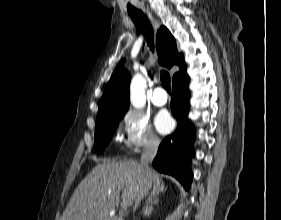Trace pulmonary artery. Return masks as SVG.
<instances>
[{"instance_id": "pulmonary-artery-1", "label": "pulmonary artery", "mask_w": 281, "mask_h": 220, "mask_svg": "<svg viewBox=\"0 0 281 220\" xmlns=\"http://www.w3.org/2000/svg\"><path fill=\"white\" fill-rule=\"evenodd\" d=\"M151 101L156 106H163L167 102V94L162 87H156L152 93Z\"/></svg>"}]
</instances>
